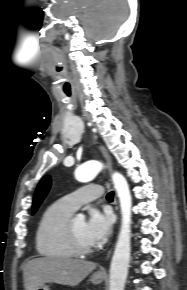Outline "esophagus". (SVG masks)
<instances>
[{
    "instance_id": "esophagus-1",
    "label": "esophagus",
    "mask_w": 187,
    "mask_h": 290,
    "mask_svg": "<svg viewBox=\"0 0 187 290\" xmlns=\"http://www.w3.org/2000/svg\"><path fill=\"white\" fill-rule=\"evenodd\" d=\"M100 149H101V152H102V154H103V156H104V158H105V161H106V163H107V166H108L109 172L111 173V164H112V162H111V157H110V155H109L107 149H106L104 146L101 145V146H100ZM115 201H116V200H115ZM110 253H111V251H109L107 257H109ZM99 274L104 275V274H106V272H105V270L101 269V270L99 271Z\"/></svg>"
}]
</instances>
